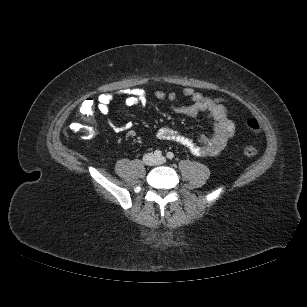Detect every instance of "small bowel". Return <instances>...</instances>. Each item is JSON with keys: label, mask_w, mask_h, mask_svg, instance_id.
Masks as SVG:
<instances>
[{"label": "small bowel", "mask_w": 307, "mask_h": 307, "mask_svg": "<svg viewBox=\"0 0 307 307\" xmlns=\"http://www.w3.org/2000/svg\"><path fill=\"white\" fill-rule=\"evenodd\" d=\"M183 95L191 101L189 105H179L175 103L176 93L174 91L157 90L154 92L156 99L167 101L172 104L175 113L194 116L200 112H205L213 123V133L211 136L201 135L197 138L183 135L173 128L164 126L156 131V137L160 140L175 142L185 147L190 153L197 157H214L226 146L228 140L235 134V124L229 117L228 109L225 105L216 103L212 99L204 97L200 92L192 88H185ZM113 94L103 93L97 98L98 111L107 116L110 111V104ZM148 97L143 89H133L128 92L125 98L127 107L146 106ZM109 126L115 132L131 131V125H116L108 119Z\"/></svg>", "instance_id": "small-bowel-1"}]
</instances>
